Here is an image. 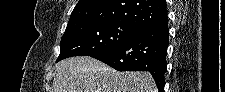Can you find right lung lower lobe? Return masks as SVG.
Masks as SVG:
<instances>
[{"instance_id":"1","label":"right lung lower lobe","mask_w":225,"mask_h":92,"mask_svg":"<svg viewBox=\"0 0 225 92\" xmlns=\"http://www.w3.org/2000/svg\"><path fill=\"white\" fill-rule=\"evenodd\" d=\"M168 44L169 28L166 22L141 30L133 39L91 57L118 71H148L154 78L159 92H163Z\"/></svg>"}]
</instances>
